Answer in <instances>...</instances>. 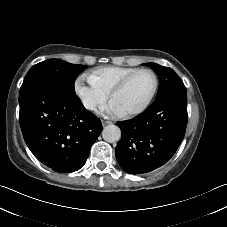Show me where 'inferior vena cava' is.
<instances>
[{
	"label": "inferior vena cava",
	"instance_id": "inferior-vena-cava-1",
	"mask_svg": "<svg viewBox=\"0 0 227 227\" xmlns=\"http://www.w3.org/2000/svg\"><path fill=\"white\" fill-rule=\"evenodd\" d=\"M85 107L87 108V109H93L94 108V106L92 105V104H85Z\"/></svg>",
	"mask_w": 227,
	"mask_h": 227
}]
</instances>
